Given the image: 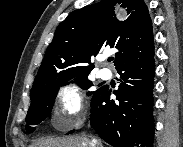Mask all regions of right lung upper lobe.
Instances as JSON below:
<instances>
[{
  "label": "right lung upper lobe",
  "instance_id": "cb5924a9",
  "mask_svg": "<svg viewBox=\"0 0 183 147\" xmlns=\"http://www.w3.org/2000/svg\"><path fill=\"white\" fill-rule=\"evenodd\" d=\"M116 3L126 8V20L116 18ZM106 47L118 49L116 67L154 52L152 22L143 0H102L70 13L55 31L31 91L57 79L89 74L93 56Z\"/></svg>",
  "mask_w": 183,
  "mask_h": 147
}]
</instances>
